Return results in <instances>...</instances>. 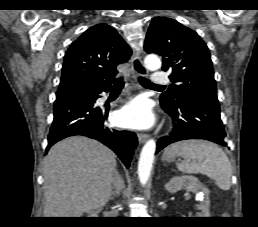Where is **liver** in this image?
Here are the masks:
<instances>
[{
  "mask_svg": "<svg viewBox=\"0 0 258 227\" xmlns=\"http://www.w3.org/2000/svg\"><path fill=\"white\" fill-rule=\"evenodd\" d=\"M114 153L100 142L73 136L56 143L43 163L44 217H81L112 195Z\"/></svg>",
  "mask_w": 258,
  "mask_h": 227,
  "instance_id": "liver-1",
  "label": "liver"
}]
</instances>
